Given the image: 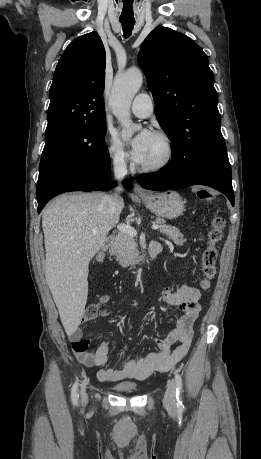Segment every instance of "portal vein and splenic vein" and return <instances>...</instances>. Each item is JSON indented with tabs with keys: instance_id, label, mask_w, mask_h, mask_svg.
<instances>
[{
	"instance_id": "obj_1",
	"label": "portal vein and splenic vein",
	"mask_w": 261,
	"mask_h": 459,
	"mask_svg": "<svg viewBox=\"0 0 261 459\" xmlns=\"http://www.w3.org/2000/svg\"><path fill=\"white\" fill-rule=\"evenodd\" d=\"M164 226L162 225H158V224H153L152 225V229L153 230H158L159 228H162ZM117 229L120 231V232H123V233H126L132 237H135L137 235V231L130 225L128 224H119L117 226ZM97 230H93V233H96Z\"/></svg>"
}]
</instances>
